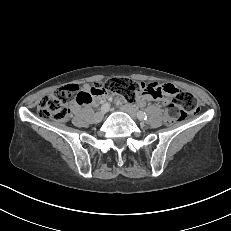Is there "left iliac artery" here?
I'll return each instance as SVG.
<instances>
[{"label":"left iliac artery","mask_w":231,"mask_h":231,"mask_svg":"<svg viewBox=\"0 0 231 231\" xmlns=\"http://www.w3.org/2000/svg\"><path fill=\"white\" fill-rule=\"evenodd\" d=\"M138 118L146 120L147 119V114L145 112H143V111H139L138 112Z\"/></svg>","instance_id":"44dca946"}]
</instances>
